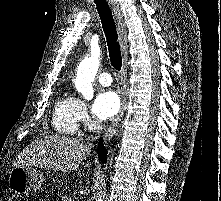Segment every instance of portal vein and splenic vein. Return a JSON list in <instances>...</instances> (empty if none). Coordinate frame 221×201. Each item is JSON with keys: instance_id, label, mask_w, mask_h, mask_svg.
<instances>
[{"instance_id": "1", "label": "portal vein and splenic vein", "mask_w": 221, "mask_h": 201, "mask_svg": "<svg viewBox=\"0 0 221 201\" xmlns=\"http://www.w3.org/2000/svg\"><path fill=\"white\" fill-rule=\"evenodd\" d=\"M67 199V198H66ZM64 201H66V200H64ZM69 201H71V198H69Z\"/></svg>"}]
</instances>
